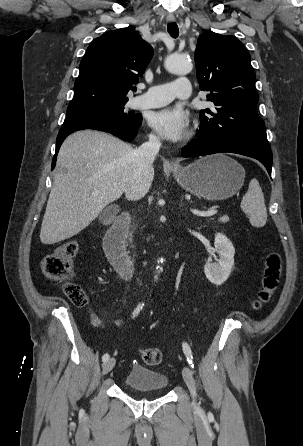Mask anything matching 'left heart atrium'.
I'll return each mask as SVG.
<instances>
[{
  "label": "left heart atrium",
  "mask_w": 303,
  "mask_h": 446,
  "mask_svg": "<svg viewBox=\"0 0 303 446\" xmlns=\"http://www.w3.org/2000/svg\"><path fill=\"white\" fill-rule=\"evenodd\" d=\"M149 125L169 140L184 138L189 129V117L180 107H166L149 115Z\"/></svg>",
  "instance_id": "obj_1"
}]
</instances>
